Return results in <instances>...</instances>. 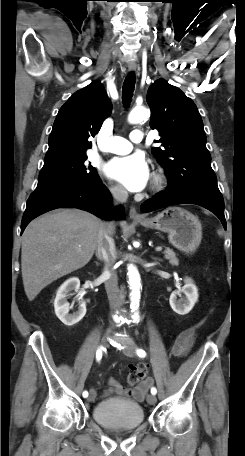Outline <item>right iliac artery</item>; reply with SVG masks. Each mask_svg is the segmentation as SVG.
Segmentation results:
<instances>
[{
    "label": "right iliac artery",
    "instance_id": "obj_1",
    "mask_svg": "<svg viewBox=\"0 0 245 456\" xmlns=\"http://www.w3.org/2000/svg\"><path fill=\"white\" fill-rule=\"evenodd\" d=\"M103 350H104L103 347L98 348V350H97V352H96V360H97V361H100V360H101V358H102V351H103ZM82 395H83L84 398H86V397H88V392H87V391H84Z\"/></svg>",
    "mask_w": 245,
    "mask_h": 456
}]
</instances>
